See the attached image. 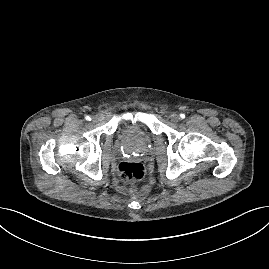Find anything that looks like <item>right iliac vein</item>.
<instances>
[{
  "instance_id": "63e3f726",
  "label": "right iliac vein",
  "mask_w": 269,
  "mask_h": 269,
  "mask_svg": "<svg viewBox=\"0 0 269 269\" xmlns=\"http://www.w3.org/2000/svg\"><path fill=\"white\" fill-rule=\"evenodd\" d=\"M99 121V117L98 116H93L92 117V122L93 123H97Z\"/></svg>"
}]
</instances>
